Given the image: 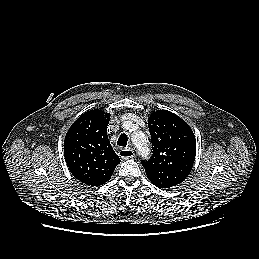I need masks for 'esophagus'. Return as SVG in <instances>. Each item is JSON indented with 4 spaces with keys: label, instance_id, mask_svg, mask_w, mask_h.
Listing matches in <instances>:
<instances>
[{
    "label": "esophagus",
    "instance_id": "1",
    "mask_svg": "<svg viewBox=\"0 0 259 259\" xmlns=\"http://www.w3.org/2000/svg\"><path fill=\"white\" fill-rule=\"evenodd\" d=\"M134 151L133 149L131 148H122L119 150V156L122 158V159H129V158H133L134 157Z\"/></svg>",
    "mask_w": 259,
    "mask_h": 259
}]
</instances>
